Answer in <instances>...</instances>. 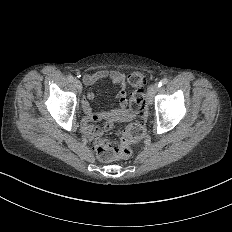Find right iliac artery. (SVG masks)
I'll return each instance as SVG.
<instances>
[{"label": "right iliac artery", "mask_w": 232, "mask_h": 232, "mask_svg": "<svg viewBox=\"0 0 232 232\" xmlns=\"http://www.w3.org/2000/svg\"><path fill=\"white\" fill-rule=\"evenodd\" d=\"M68 80H69L70 82H74V77H73L72 75H69V76H68Z\"/></svg>", "instance_id": "1"}]
</instances>
